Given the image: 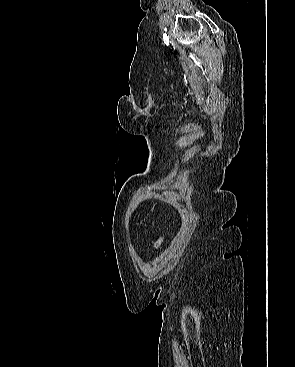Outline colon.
Here are the masks:
<instances>
[{
  "mask_svg": "<svg viewBox=\"0 0 295 367\" xmlns=\"http://www.w3.org/2000/svg\"><path fill=\"white\" fill-rule=\"evenodd\" d=\"M161 239L156 243V246H159L161 244Z\"/></svg>",
  "mask_w": 295,
  "mask_h": 367,
  "instance_id": "1",
  "label": "colon"
}]
</instances>
